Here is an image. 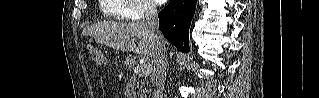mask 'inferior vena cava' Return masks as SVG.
I'll return each mask as SVG.
<instances>
[{
    "mask_svg": "<svg viewBox=\"0 0 319 98\" xmlns=\"http://www.w3.org/2000/svg\"><path fill=\"white\" fill-rule=\"evenodd\" d=\"M142 23L146 26L156 43L154 53L155 68L152 74V80L154 81L152 98H163L168 70V55L165 39L159 30L157 8L150 1L145 5Z\"/></svg>",
    "mask_w": 319,
    "mask_h": 98,
    "instance_id": "inferior-vena-cava-1",
    "label": "inferior vena cava"
}]
</instances>
